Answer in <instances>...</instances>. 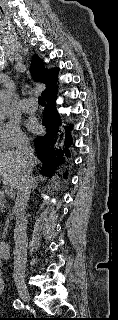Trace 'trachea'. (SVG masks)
I'll use <instances>...</instances> for the list:
<instances>
[{"label": "trachea", "mask_w": 118, "mask_h": 320, "mask_svg": "<svg viewBox=\"0 0 118 320\" xmlns=\"http://www.w3.org/2000/svg\"><path fill=\"white\" fill-rule=\"evenodd\" d=\"M38 103H39L40 105L44 106V105L46 104L44 97H40V98L38 99Z\"/></svg>", "instance_id": "3493384b"}]
</instances>
